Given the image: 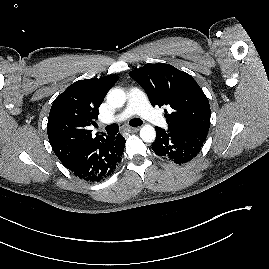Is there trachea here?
Returning <instances> with one entry per match:
<instances>
[{
	"label": "trachea",
	"instance_id": "trachea-1",
	"mask_svg": "<svg viewBox=\"0 0 269 269\" xmlns=\"http://www.w3.org/2000/svg\"><path fill=\"white\" fill-rule=\"evenodd\" d=\"M129 124L132 127H137V126H141L143 124V122L139 118H134V119L130 120ZM105 129L109 135H115L119 131V126L117 124H111V125L105 127Z\"/></svg>",
	"mask_w": 269,
	"mask_h": 269
}]
</instances>
